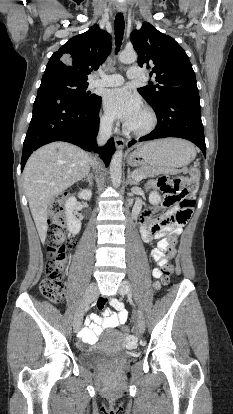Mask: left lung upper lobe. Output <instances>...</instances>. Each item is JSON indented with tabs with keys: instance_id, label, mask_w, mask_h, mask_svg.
I'll use <instances>...</instances> for the list:
<instances>
[{
	"instance_id": "obj_1",
	"label": "left lung upper lobe",
	"mask_w": 233,
	"mask_h": 414,
	"mask_svg": "<svg viewBox=\"0 0 233 414\" xmlns=\"http://www.w3.org/2000/svg\"><path fill=\"white\" fill-rule=\"evenodd\" d=\"M130 40L138 54L139 66H152L150 76L158 84L138 89L154 111L171 97L198 93L195 73L184 49L170 36L158 31L149 23L131 33Z\"/></svg>"
}]
</instances>
